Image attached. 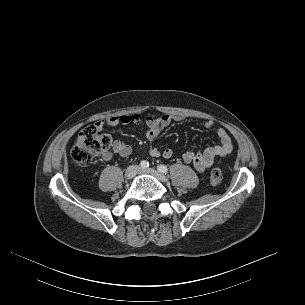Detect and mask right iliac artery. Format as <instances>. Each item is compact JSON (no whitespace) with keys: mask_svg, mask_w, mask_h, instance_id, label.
I'll return each mask as SVG.
<instances>
[{"mask_svg":"<svg viewBox=\"0 0 305 305\" xmlns=\"http://www.w3.org/2000/svg\"><path fill=\"white\" fill-rule=\"evenodd\" d=\"M140 166L145 169L147 167H149V162L146 160L141 161Z\"/></svg>","mask_w":305,"mask_h":305,"instance_id":"right-iliac-artery-1","label":"right iliac artery"}]
</instances>
